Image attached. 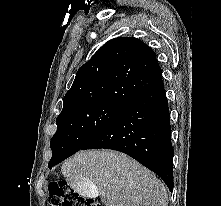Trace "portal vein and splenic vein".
Wrapping results in <instances>:
<instances>
[{"label":"portal vein and splenic vein","instance_id":"18ae733b","mask_svg":"<svg viewBox=\"0 0 221 206\" xmlns=\"http://www.w3.org/2000/svg\"><path fill=\"white\" fill-rule=\"evenodd\" d=\"M95 190H96V189H95V187H93V186H92V193H94V192H95Z\"/></svg>","mask_w":221,"mask_h":206}]
</instances>
